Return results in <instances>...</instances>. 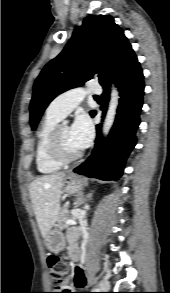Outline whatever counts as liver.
<instances>
[{
	"label": "liver",
	"instance_id": "liver-1",
	"mask_svg": "<svg viewBox=\"0 0 170 293\" xmlns=\"http://www.w3.org/2000/svg\"><path fill=\"white\" fill-rule=\"evenodd\" d=\"M65 176V172L49 174L33 180L29 185L31 202L43 238L52 229L60 212Z\"/></svg>",
	"mask_w": 170,
	"mask_h": 293
}]
</instances>
